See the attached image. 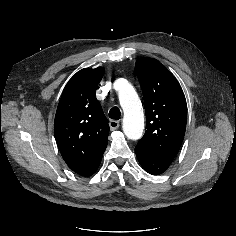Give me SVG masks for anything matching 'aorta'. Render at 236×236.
<instances>
[{
  "mask_svg": "<svg viewBox=\"0 0 236 236\" xmlns=\"http://www.w3.org/2000/svg\"><path fill=\"white\" fill-rule=\"evenodd\" d=\"M121 84L119 91V101L124 112L123 131L131 140L142 137L144 130V114L141 101L130 84L119 81Z\"/></svg>",
  "mask_w": 236,
  "mask_h": 236,
  "instance_id": "1",
  "label": "aorta"
}]
</instances>
